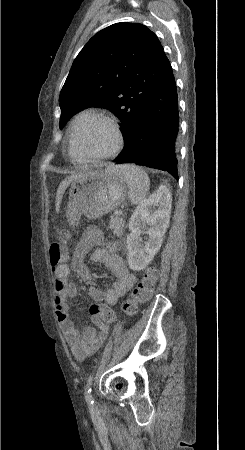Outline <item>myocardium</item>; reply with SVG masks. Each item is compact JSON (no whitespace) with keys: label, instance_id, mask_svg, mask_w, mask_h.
I'll use <instances>...</instances> for the list:
<instances>
[{"label":"myocardium","instance_id":"f54148a6","mask_svg":"<svg viewBox=\"0 0 245 450\" xmlns=\"http://www.w3.org/2000/svg\"><path fill=\"white\" fill-rule=\"evenodd\" d=\"M97 122H103L110 126V128L113 130L115 134V144L110 152L104 155H98V156H86L76 149V134L79 128L86 123H97ZM69 145L71 151L82 160H107L115 157L123 148L124 145V135L122 132V129L118 123V121L104 113H96L89 118L86 119H75L71 125L70 132H69Z\"/></svg>","mask_w":245,"mask_h":450}]
</instances>
